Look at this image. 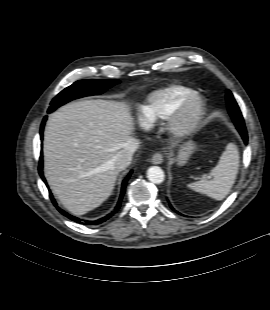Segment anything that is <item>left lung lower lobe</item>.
Listing matches in <instances>:
<instances>
[{
    "mask_svg": "<svg viewBox=\"0 0 270 310\" xmlns=\"http://www.w3.org/2000/svg\"><path fill=\"white\" fill-rule=\"evenodd\" d=\"M240 132V131H239ZM240 134H241V136H242V138H243V140H244V142H245V144L247 143V132H246V130L245 131H242V132H240ZM170 207L173 209V207L170 205Z\"/></svg>",
    "mask_w": 270,
    "mask_h": 310,
    "instance_id": "0a47b994",
    "label": "left lung lower lobe"
}]
</instances>
